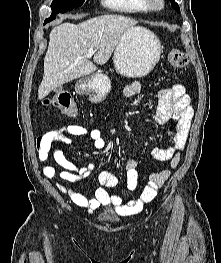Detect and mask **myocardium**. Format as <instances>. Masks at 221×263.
<instances>
[{
    "label": "myocardium",
    "mask_w": 221,
    "mask_h": 263,
    "mask_svg": "<svg viewBox=\"0 0 221 263\" xmlns=\"http://www.w3.org/2000/svg\"><path fill=\"white\" fill-rule=\"evenodd\" d=\"M145 2L151 11H161L165 6L164 0H145Z\"/></svg>",
    "instance_id": "f54148a6"
}]
</instances>
